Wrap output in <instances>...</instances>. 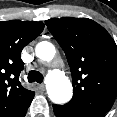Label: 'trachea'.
<instances>
[{"instance_id":"3493384b","label":"trachea","mask_w":117,"mask_h":117,"mask_svg":"<svg viewBox=\"0 0 117 117\" xmlns=\"http://www.w3.org/2000/svg\"><path fill=\"white\" fill-rule=\"evenodd\" d=\"M43 81V75L35 70H32L29 72L28 74V82H38V83H42Z\"/></svg>"}]
</instances>
